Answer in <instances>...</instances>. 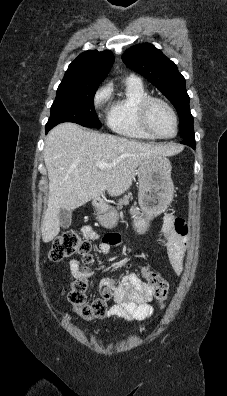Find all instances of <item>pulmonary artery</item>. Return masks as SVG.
<instances>
[{"label":"pulmonary artery","instance_id":"e3ab8cb5","mask_svg":"<svg viewBox=\"0 0 227 396\" xmlns=\"http://www.w3.org/2000/svg\"><path fill=\"white\" fill-rule=\"evenodd\" d=\"M129 78H136L135 76H130ZM137 79V78H136Z\"/></svg>","mask_w":227,"mask_h":396}]
</instances>
